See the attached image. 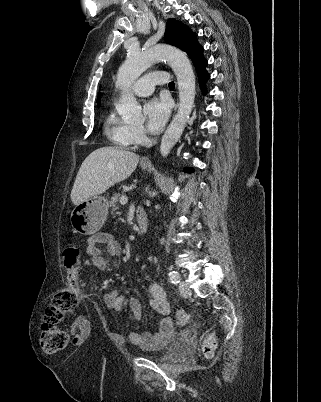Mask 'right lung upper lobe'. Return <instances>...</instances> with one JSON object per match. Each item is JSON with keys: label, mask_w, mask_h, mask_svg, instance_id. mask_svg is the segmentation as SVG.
Returning <instances> with one entry per match:
<instances>
[{"label": "right lung upper lobe", "mask_w": 321, "mask_h": 402, "mask_svg": "<svg viewBox=\"0 0 321 402\" xmlns=\"http://www.w3.org/2000/svg\"><path fill=\"white\" fill-rule=\"evenodd\" d=\"M100 99H101V96H100V94H99L98 97H97V104H98V105H100Z\"/></svg>", "instance_id": "obj_1"}]
</instances>
